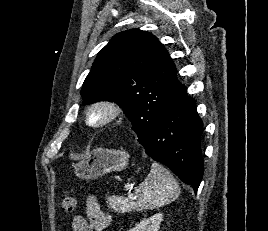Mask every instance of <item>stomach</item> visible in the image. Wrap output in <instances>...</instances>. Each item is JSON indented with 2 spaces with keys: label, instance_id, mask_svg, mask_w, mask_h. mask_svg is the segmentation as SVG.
<instances>
[{
  "label": "stomach",
  "instance_id": "stomach-1",
  "mask_svg": "<svg viewBox=\"0 0 268 231\" xmlns=\"http://www.w3.org/2000/svg\"><path fill=\"white\" fill-rule=\"evenodd\" d=\"M129 155L122 150L97 148L80 162L73 164L74 173L81 179H97L106 173L124 170Z\"/></svg>",
  "mask_w": 268,
  "mask_h": 231
}]
</instances>
